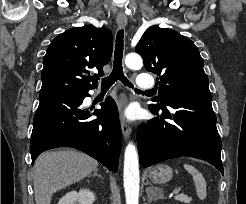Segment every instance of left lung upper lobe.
<instances>
[{
  "instance_id": "obj_1",
  "label": "left lung upper lobe",
  "mask_w": 246,
  "mask_h": 204,
  "mask_svg": "<svg viewBox=\"0 0 246 204\" xmlns=\"http://www.w3.org/2000/svg\"><path fill=\"white\" fill-rule=\"evenodd\" d=\"M147 71L159 75L158 110L171 98L212 99L203 59L194 43L176 31L149 27L136 46ZM158 81V79H157Z\"/></svg>"
}]
</instances>
